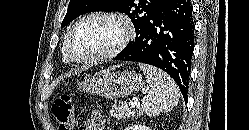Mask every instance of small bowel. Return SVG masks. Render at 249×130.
Returning <instances> with one entry per match:
<instances>
[{"mask_svg":"<svg viewBox=\"0 0 249 130\" xmlns=\"http://www.w3.org/2000/svg\"><path fill=\"white\" fill-rule=\"evenodd\" d=\"M106 122L104 116L98 110H93L84 123V130H104Z\"/></svg>","mask_w":249,"mask_h":130,"instance_id":"small-bowel-1","label":"small bowel"}]
</instances>
